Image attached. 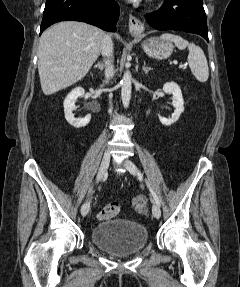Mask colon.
Returning a JSON list of instances; mask_svg holds the SVG:
<instances>
[{
  "mask_svg": "<svg viewBox=\"0 0 240 287\" xmlns=\"http://www.w3.org/2000/svg\"><path fill=\"white\" fill-rule=\"evenodd\" d=\"M121 205L118 202H112L106 205L97 215L101 221L109 220L120 212Z\"/></svg>",
  "mask_w": 240,
  "mask_h": 287,
  "instance_id": "colon-1",
  "label": "colon"
}]
</instances>
